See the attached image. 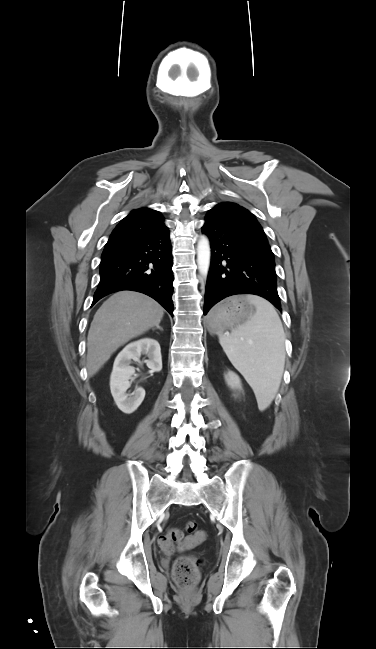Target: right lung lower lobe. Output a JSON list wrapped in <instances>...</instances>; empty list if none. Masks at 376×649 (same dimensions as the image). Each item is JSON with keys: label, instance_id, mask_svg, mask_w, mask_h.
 Segmentation results:
<instances>
[{"label": "right lung lower lobe", "instance_id": "obj_1", "mask_svg": "<svg viewBox=\"0 0 376 649\" xmlns=\"http://www.w3.org/2000/svg\"><path fill=\"white\" fill-rule=\"evenodd\" d=\"M173 272L169 231L105 246L100 282L92 306L102 297L121 290L144 293L173 316Z\"/></svg>", "mask_w": 376, "mask_h": 649}]
</instances>
